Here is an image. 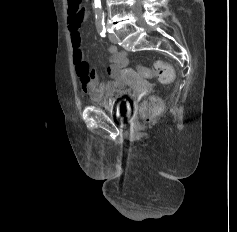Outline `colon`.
<instances>
[{
	"mask_svg": "<svg viewBox=\"0 0 237 232\" xmlns=\"http://www.w3.org/2000/svg\"><path fill=\"white\" fill-rule=\"evenodd\" d=\"M68 9L70 15L74 17H82L85 12L82 0H68ZM138 72L144 78H157L164 84H168L174 79L173 68L162 61H156L151 68L139 67ZM160 108V102L157 99L151 98L143 102L140 114L143 119L150 121L158 114Z\"/></svg>",
	"mask_w": 237,
	"mask_h": 232,
	"instance_id": "colon-1",
	"label": "colon"
}]
</instances>
